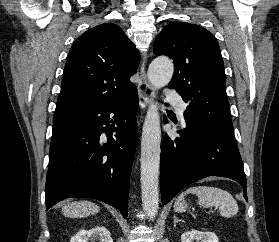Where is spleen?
I'll list each match as a JSON object with an SVG mask.
<instances>
[{"mask_svg":"<svg viewBox=\"0 0 279 242\" xmlns=\"http://www.w3.org/2000/svg\"><path fill=\"white\" fill-rule=\"evenodd\" d=\"M191 193L198 197V204L201 207H219L220 214L224 217H232L236 215L239 210L236 200L229 192L217 187L194 186L178 196L174 204V210L176 212H183L186 210L187 203L184 197Z\"/></svg>","mask_w":279,"mask_h":242,"instance_id":"1","label":"spleen"}]
</instances>
